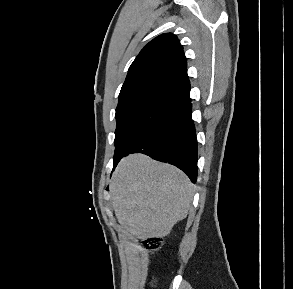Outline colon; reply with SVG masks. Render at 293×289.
<instances>
[{
  "label": "colon",
  "mask_w": 293,
  "mask_h": 289,
  "mask_svg": "<svg viewBox=\"0 0 293 289\" xmlns=\"http://www.w3.org/2000/svg\"><path fill=\"white\" fill-rule=\"evenodd\" d=\"M143 244L148 248L150 251H158L162 246V241L159 238H146L143 241Z\"/></svg>",
  "instance_id": "obj_1"
}]
</instances>
